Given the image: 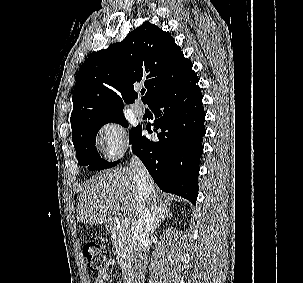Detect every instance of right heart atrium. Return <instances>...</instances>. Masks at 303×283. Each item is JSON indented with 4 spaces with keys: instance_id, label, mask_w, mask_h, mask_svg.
I'll return each mask as SVG.
<instances>
[{
    "instance_id": "1",
    "label": "right heart atrium",
    "mask_w": 303,
    "mask_h": 283,
    "mask_svg": "<svg viewBox=\"0 0 303 283\" xmlns=\"http://www.w3.org/2000/svg\"><path fill=\"white\" fill-rule=\"evenodd\" d=\"M95 141L102 156L114 162L128 149L129 141L126 129L117 121H105L98 127Z\"/></svg>"
}]
</instances>
